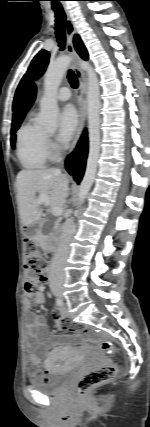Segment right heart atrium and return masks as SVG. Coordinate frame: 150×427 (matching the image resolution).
Returning <instances> with one entry per match:
<instances>
[{
  "label": "right heart atrium",
  "instance_id": "1",
  "mask_svg": "<svg viewBox=\"0 0 150 427\" xmlns=\"http://www.w3.org/2000/svg\"><path fill=\"white\" fill-rule=\"evenodd\" d=\"M48 145L50 146V147H53L54 145H53V143L49 140L48 141Z\"/></svg>",
  "mask_w": 150,
  "mask_h": 427
}]
</instances>
